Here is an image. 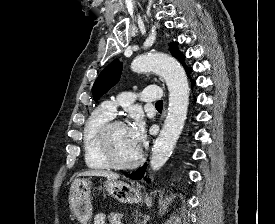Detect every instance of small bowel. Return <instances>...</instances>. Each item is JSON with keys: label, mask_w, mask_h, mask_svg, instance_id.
Listing matches in <instances>:
<instances>
[{"label": "small bowel", "mask_w": 275, "mask_h": 224, "mask_svg": "<svg viewBox=\"0 0 275 224\" xmlns=\"http://www.w3.org/2000/svg\"><path fill=\"white\" fill-rule=\"evenodd\" d=\"M94 224H106L105 216L102 213L97 214Z\"/></svg>", "instance_id": "small-bowel-1"}]
</instances>
